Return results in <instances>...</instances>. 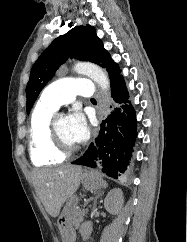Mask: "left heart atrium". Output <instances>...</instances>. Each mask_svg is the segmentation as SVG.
<instances>
[{"mask_svg": "<svg viewBox=\"0 0 187 242\" xmlns=\"http://www.w3.org/2000/svg\"><path fill=\"white\" fill-rule=\"evenodd\" d=\"M68 132L71 139L76 143L84 142L89 134L84 115L79 111L72 112L67 117Z\"/></svg>", "mask_w": 187, "mask_h": 242, "instance_id": "39dd6f15", "label": "left heart atrium"}]
</instances>
